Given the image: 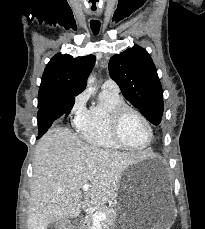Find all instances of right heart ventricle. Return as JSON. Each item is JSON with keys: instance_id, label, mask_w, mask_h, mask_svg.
<instances>
[{"instance_id": "right-heart-ventricle-1", "label": "right heart ventricle", "mask_w": 205, "mask_h": 229, "mask_svg": "<svg viewBox=\"0 0 205 229\" xmlns=\"http://www.w3.org/2000/svg\"><path fill=\"white\" fill-rule=\"evenodd\" d=\"M124 104L119 93L102 89L98 101L87 109L85 117L76 125L81 138L97 148L121 149L111 135L110 116L114 108Z\"/></svg>"}]
</instances>
